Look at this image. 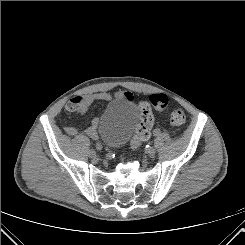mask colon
I'll use <instances>...</instances> for the list:
<instances>
[{"label":"colon","instance_id":"5ec220e1","mask_svg":"<svg viewBox=\"0 0 245 245\" xmlns=\"http://www.w3.org/2000/svg\"><path fill=\"white\" fill-rule=\"evenodd\" d=\"M168 104V98L164 94H153L150 96L149 103L143 102L140 105V119L135 130L131 146L134 151H138L143 143L151 136L154 124L152 107L157 111H162ZM79 108V101L72 100L68 106V111L74 112ZM186 120V115L181 108L175 109L170 115V123L174 126L182 125Z\"/></svg>","mask_w":245,"mask_h":245}]
</instances>
